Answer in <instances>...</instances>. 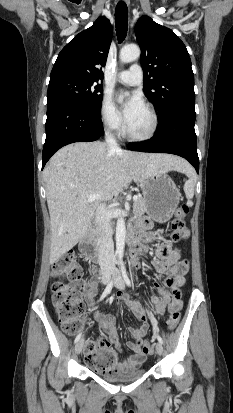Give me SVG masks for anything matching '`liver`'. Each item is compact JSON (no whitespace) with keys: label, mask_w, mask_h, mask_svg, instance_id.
Returning a JSON list of instances; mask_svg holds the SVG:
<instances>
[{"label":"liver","mask_w":233,"mask_h":413,"mask_svg":"<svg viewBox=\"0 0 233 413\" xmlns=\"http://www.w3.org/2000/svg\"><path fill=\"white\" fill-rule=\"evenodd\" d=\"M190 171L182 158L111 149L103 142H76L57 151L46 165L50 214L51 264L73 248L86 233L100 200L86 196H117L132 181L141 183L155 173Z\"/></svg>","instance_id":"obj_1"}]
</instances>
